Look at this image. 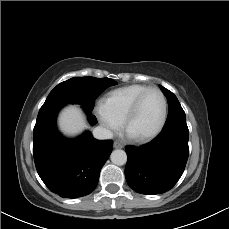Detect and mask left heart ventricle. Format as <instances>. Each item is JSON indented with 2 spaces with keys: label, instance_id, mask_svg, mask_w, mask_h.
<instances>
[{
  "label": "left heart ventricle",
  "instance_id": "obj_1",
  "mask_svg": "<svg viewBox=\"0 0 229 229\" xmlns=\"http://www.w3.org/2000/svg\"><path fill=\"white\" fill-rule=\"evenodd\" d=\"M163 111V101L159 93L150 92L141 101L138 110L129 124L132 135H144L153 131L159 124Z\"/></svg>",
  "mask_w": 229,
  "mask_h": 229
}]
</instances>
